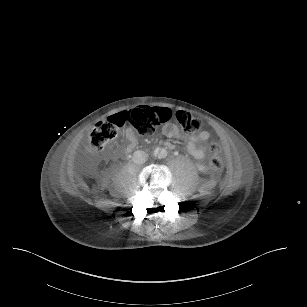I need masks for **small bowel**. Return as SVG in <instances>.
<instances>
[{"label": "small bowel", "mask_w": 307, "mask_h": 307, "mask_svg": "<svg viewBox=\"0 0 307 307\" xmlns=\"http://www.w3.org/2000/svg\"><path fill=\"white\" fill-rule=\"evenodd\" d=\"M163 133L169 138H185L187 141L188 152L197 160H202L206 155V148L199 146L201 143L207 142L210 138L208 131H200L194 134L184 136L181 134L180 130L173 124H166L163 128ZM126 138L128 140V149L135 147L138 143L135 132L132 129L127 130ZM168 148H173V145L167 143ZM197 169L199 171H205L206 166L203 163L197 164Z\"/></svg>", "instance_id": "1"}]
</instances>
